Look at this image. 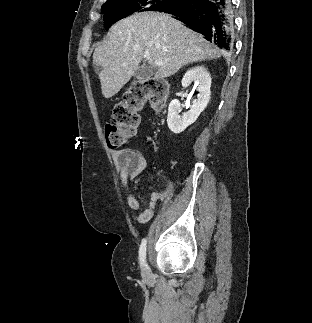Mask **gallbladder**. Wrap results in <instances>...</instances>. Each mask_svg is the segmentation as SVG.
I'll return each instance as SVG.
<instances>
[{
    "instance_id": "obj_1",
    "label": "gallbladder",
    "mask_w": 312,
    "mask_h": 323,
    "mask_svg": "<svg viewBox=\"0 0 312 323\" xmlns=\"http://www.w3.org/2000/svg\"><path fill=\"white\" fill-rule=\"evenodd\" d=\"M153 76V70H151L150 66H140V68H137L134 72V78H144V80H147V78H151Z\"/></svg>"
}]
</instances>
